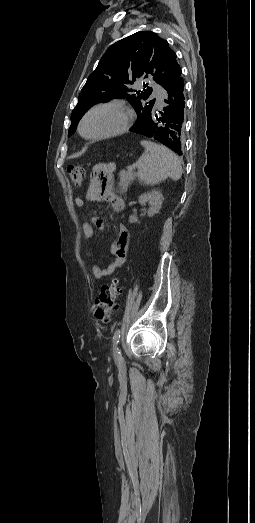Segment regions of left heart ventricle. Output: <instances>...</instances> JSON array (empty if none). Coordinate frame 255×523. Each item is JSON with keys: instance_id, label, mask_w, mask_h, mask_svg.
<instances>
[{"instance_id": "b2bd125f", "label": "left heart ventricle", "mask_w": 255, "mask_h": 523, "mask_svg": "<svg viewBox=\"0 0 255 523\" xmlns=\"http://www.w3.org/2000/svg\"><path fill=\"white\" fill-rule=\"evenodd\" d=\"M125 116L112 109H99L86 119L83 132L87 136H99L118 130L124 123Z\"/></svg>"}]
</instances>
